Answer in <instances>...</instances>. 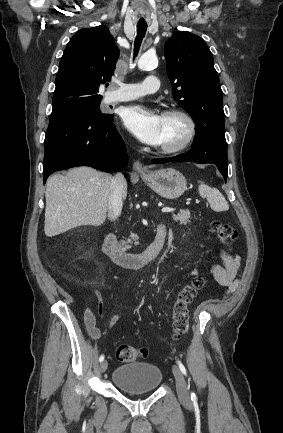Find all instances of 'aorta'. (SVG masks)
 I'll use <instances>...</instances> for the list:
<instances>
[{
    "mask_svg": "<svg viewBox=\"0 0 283 433\" xmlns=\"http://www.w3.org/2000/svg\"><path fill=\"white\" fill-rule=\"evenodd\" d=\"M158 65V58L155 54L146 52L138 60V68L147 70Z\"/></svg>",
    "mask_w": 283,
    "mask_h": 433,
    "instance_id": "obj_1",
    "label": "aorta"
}]
</instances>
